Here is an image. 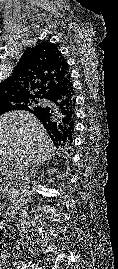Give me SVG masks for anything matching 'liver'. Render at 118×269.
Listing matches in <instances>:
<instances>
[{
    "label": "liver",
    "instance_id": "liver-1",
    "mask_svg": "<svg viewBox=\"0 0 118 269\" xmlns=\"http://www.w3.org/2000/svg\"><path fill=\"white\" fill-rule=\"evenodd\" d=\"M58 151L40 120L25 111L0 116V173L11 165L18 174L23 166L49 161Z\"/></svg>",
    "mask_w": 118,
    "mask_h": 269
}]
</instances>
